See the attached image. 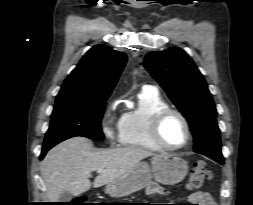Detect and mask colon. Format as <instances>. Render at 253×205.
Masks as SVG:
<instances>
[{"label":"colon","instance_id":"5ec220e1","mask_svg":"<svg viewBox=\"0 0 253 205\" xmlns=\"http://www.w3.org/2000/svg\"><path fill=\"white\" fill-rule=\"evenodd\" d=\"M212 178V173L204 161H197L191 168L188 188L198 189ZM70 205H85L84 199H76Z\"/></svg>","mask_w":253,"mask_h":205}]
</instances>
